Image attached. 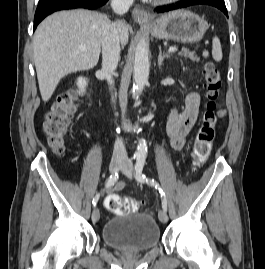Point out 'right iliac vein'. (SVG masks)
<instances>
[{
    "label": "right iliac vein",
    "instance_id": "obj_1",
    "mask_svg": "<svg viewBox=\"0 0 265 269\" xmlns=\"http://www.w3.org/2000/svg\"><path fill=\"white\" fill-rule=\"evenodd\" d=\"M123 165V162L119 159H112L109 165V170L111 173L117 172ZM100 219V213L97 208H95L92 212V221L98 222Z\"/></svg>",
    "mask_w": 265,
    "mask_h": 269
}]
</instances>
